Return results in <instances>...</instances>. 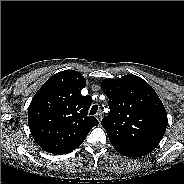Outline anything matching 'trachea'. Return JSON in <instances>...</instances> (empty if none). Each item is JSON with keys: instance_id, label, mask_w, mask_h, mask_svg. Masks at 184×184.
Returning <instances> with one entry per match:
<instances>
[{"instance_id": "obj_1", "label": "trachea", "mask_w": 184, "mask_h": 184, "mask_svg": "<svg viewBox=\"0 0 184 184\" xmlns=\"http://www.w3.org/2000/svg\"><path fill=\"white\" fill-rule=\"evenodd\" d=\"M97 110H98V106L97 105H93L91 110H90L89 115H95Z\"/></svg>"}]
</instances>
